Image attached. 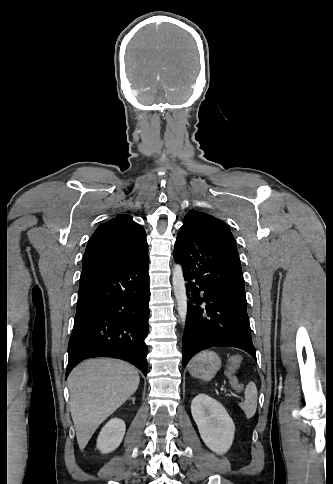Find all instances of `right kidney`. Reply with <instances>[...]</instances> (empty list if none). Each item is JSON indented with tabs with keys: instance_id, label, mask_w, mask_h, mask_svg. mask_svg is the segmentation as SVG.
I'll list each match as a JSON object with an SVG mask.
<instances>
[{
	"instance_id": "obj_1",
	"label": "right kidney",
	"mask_w": 333,
	"mask_h": 484,
	"mask_svg": "<svg viewBox=\"0 0 333 484\" xmlns=\"http://www.w3.org/2000/svg\"><path fill=\"white\" fill-rule=\"evenodd\" d=\"M126 426L125 422L118 418L111 419L101 430L97 439V448L102 453L115 450L123 440Z\"/></svg>"
}]
</instances>
